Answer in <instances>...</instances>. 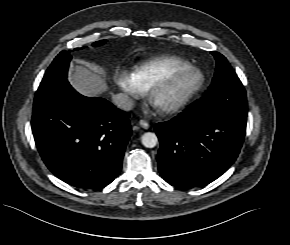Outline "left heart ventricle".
Segmentation results:
<instances>
[{
    "label": "left heart ventricle",
    "mask_w": 290,
    "mask_h": 245,
    "mask_svg": "<svg viewBox=\"0 0 290 245\" xmlns=\"http://www.w3.org/2000/svg\"><path fill=\"white\" fill-rule=\"evenodd\" d=\"M195 79V75L193 74H187L180 77L173 84H171L158 94L156 104L160 108L173 104L192 87Z\"/></svg>",
    "instance_id": "left-heart-ventricle-1"
}]
</instances>
